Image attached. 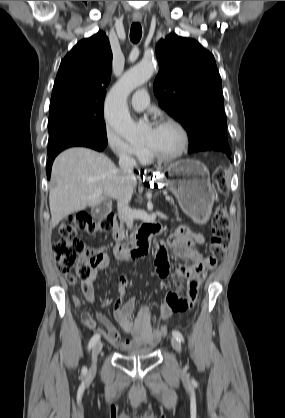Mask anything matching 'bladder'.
<instances>
[{
	"label": "bladder",
	"instance_id": "obj_1",
	"mask_svg": "<svg viewBox=\"0 0 285 418\" xmlns=\"http://www.w3.org/2000/svg\"><path fill=\"white\" fill-rule=\"evenodd\" d=\"M152 351V347H140V348H132L128 351L127 355L130 356H148L150 352Z\"/></svg>",
	"mask_w": 285,
	"mask_h": 418
}]
</instances>
